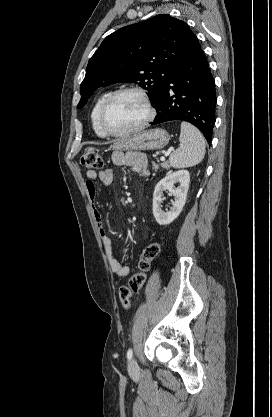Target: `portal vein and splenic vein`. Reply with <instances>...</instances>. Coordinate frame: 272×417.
I'll list each match as a JSON object with an SVG mask.
<instances>
[{"label":"portal vein and splenic vein","instance_id":"obj_1","mask_svg":"<svg viewBox=\"0 0 272 417\" xmlns=\"http://www.w3.org/2000/svg\"><path fill=\"white\" fill-rule=\"evenodd\" d=\"M160 160L161 161H165V157L164 156H161Z\"/></svg>","mask_w":272,"mask_h":417}]
</instances>
